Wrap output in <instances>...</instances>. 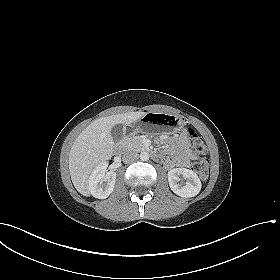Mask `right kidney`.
<instances>
[{
  "label": "right kidney",
  "instance_id": "right-kidney-1",
  "mask_svg": "<svg viewBox=\"0 0 280 280\" xmlns=\"http://www.w3.org/2000/svg\"><path fill=\"white\" fill-rule=\"evenodd\" d=\"M106 168V162L100 163L89 177V191L93 197L98 199H106L114 190L116 173L107 172Z\"/></svg>",
  "mask_w": 280,
  "mask_h": 280
}]
</instances>
